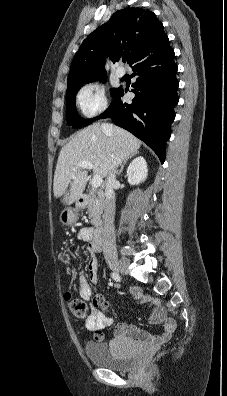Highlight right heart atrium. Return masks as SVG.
<instances>
[{
  "label": "right heart atrium",
  "mask_w": 227,
  "mask_h": 396,
  "mask_svg": "<svg viewBox=\"0 0 227 396\" xmlns=\"http://www.w3.org/2000/svg\"><path fill=\"white\" fill-rule=\"evenodd\" d=\"M77 105L85 118H93L107 108L106 91L98 82L85 84L77 94Z\"/></svg>",
  "instance_id": "obj_1"
}]
</instances>
